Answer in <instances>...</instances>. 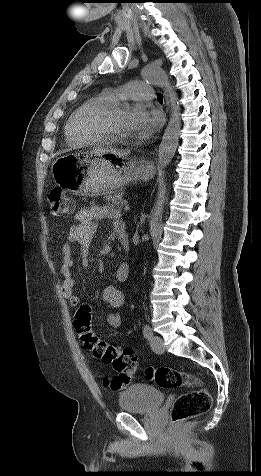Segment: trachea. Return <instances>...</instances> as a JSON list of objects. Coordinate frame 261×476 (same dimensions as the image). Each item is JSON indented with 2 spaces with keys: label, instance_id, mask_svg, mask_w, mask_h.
I'll list each match as a JSON object with an SVG mask.
<instances>
[{
  "label": "trachea",
  "instance_id": "trachea-1",
  "mask_svg": "<svg viewBox=\"0 0 261 476\" xmlns=\"http://www.w3.org/2000/svg\"><path fill=\"white\" fill-rule=\"evenodd\" d=\"M157 99H158V101H163V95H162V94H159V95L157 96Z\"/></svg>",
  "mask_w": 261,
  "mask_h": 476
}]
</instances>
